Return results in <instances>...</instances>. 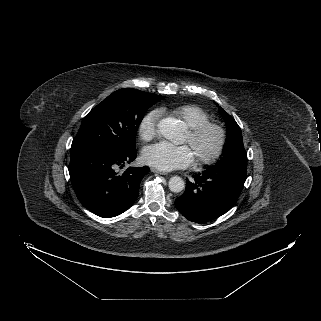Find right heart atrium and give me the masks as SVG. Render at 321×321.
<instances>
[{
    "label": "right heart atrium",
    "mask_w": 321,
    "mask_h": 321,
    "mask_svg": "<svg viewBox=\"0 0 321 321\" xmlns=\"http://www.w3.org/2000/svg\"><path fill=\"white\" fill-rule=\"evenodd\" d=\"M160 117L158 110H152L144 115L138 127V133L143 141L153 139L157 133V122Z\"/></svg>",
    "instance_id": "obj_1"
}]
</instances>
